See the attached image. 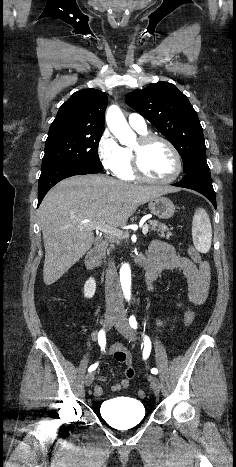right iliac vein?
Returning a JSON list of instances; mask_svg holds the SVG:
<instances>
[{
  "instance_id": "1",
  "label": "right iliac vein",
  "mask_w": 236,
  "mask_h": 467,
  "mask_svg": "<svg viewBox=\"0 0 236 467\" xmlns=\"http://www.w3.org/2000/svg\"><path fill=\"white\" fill-rule=\"evenodd\" d=\"M117 316H118L117 313L114 311H110L106 313L105 320H104V326L107 330H109L113 326L114 322L117 319ZM94 377H95L94 372H89L86 375L85 377L86 386H90L93 383Z\"/></svg>"
}]
</instances>
